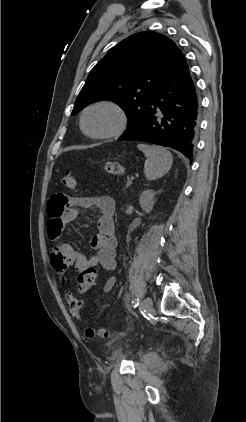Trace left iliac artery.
I'll return each instance as SVG.
<instances>
[{
    "instance_id": "44dca946",
    "label": "left iliac artery",
    "mask_w": 246,
    "mask_h": 422,
    "mask_svg": "<svg viewBox=\"0 0 246 422\" xmlns=\"http://www.w3.org/2000/svg\"><path fill=\"white\" fill-rule=\"evenodd\" d=\"M138 305H139V299H138V298H137V299H134V300L132 301V306H133V308H136Z\"/></svg>"
}]
</instances>
